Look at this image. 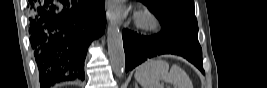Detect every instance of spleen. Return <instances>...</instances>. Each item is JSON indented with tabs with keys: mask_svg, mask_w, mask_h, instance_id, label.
<instances>
[{
	"mask_svg": "<svg viewBox=\"0 0 267 88\" xmlns=\"http://www.w3.org/2000/svg\"><path fill=\"white\" fill-rule=\"evenodd\" d=\"M142 88H163L161 81L173 84L176 88H190L189 77L178 65L162 59H151L140 65L134 75Z\"/></svg>",
	"mask_w": 267,
	"mask_h": 88,
	"instance_id": "3e777b00",
	"label": "spleen"
}]
</instances>
